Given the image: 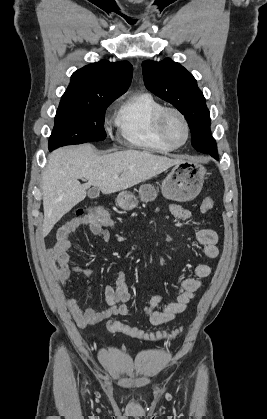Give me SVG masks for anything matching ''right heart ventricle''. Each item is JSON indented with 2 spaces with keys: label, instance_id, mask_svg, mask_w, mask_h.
Here are the masks:
<instances>
[{
  "label": "right heart ventricle",
  "instance_id": "e07e8e85",
  "mask_svg": "<svg viewBox=\"0 0 267 419\" xmlns=\"http://www.w3.org/2000/svg\"><path fill=\"white\" fill-rule=\"evenodd\" d=\"M164 107L148 92L129 96L115 115L118 134L132 146L143 150L163 154L173 151L161 140L156 128L157 116Z\"/></svg>",
  "mask_w": 267,
  "mask_h": 419
}]
</instances>
